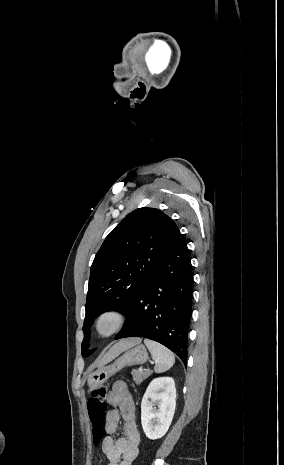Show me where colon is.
Instances as JSON below:
<instances>
[{"instance_id": "colon-1", "label": "colon", "mask_w": 284, "mask_h": 465, "mask_svg": "<svg viewBox=\"0 0 284 465\" xmlns=\"http://www.w3.org/2000/svg\"><path fill=\"white\" fill-rule=\"evenodd\" d=\"M107 388L103 385L94 386L88 399L89 421L91 422L92 438H103L105 435L104 430L108 429V422L106 421V402Z\"/></svg>"}]
</instances>
